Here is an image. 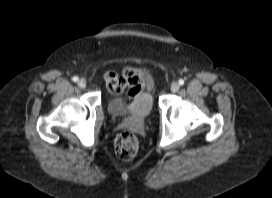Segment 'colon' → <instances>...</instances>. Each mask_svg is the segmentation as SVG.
<instances>
[{
  "mask_svg": "<svg viewBox=\"0 0 272 198\" xmlns=\"http://www.w3.org/2000/svg\"><path fill=\"white\" fill-rule=\"evenodd\" d=\"M114 149L120 159L132 160L139 152L138 139L131 132H122L114 140Z\"/></svg>",
  "mask_w": 272,
  "mask_h": 198,
  "instance_id": "obj_1",
  "label": "colon"
}]
</instances>
